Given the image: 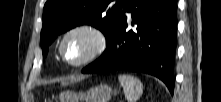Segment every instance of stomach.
I'll list each match as a JSON object with an SVG mask.
<instances>
[{"instance_id":"obj_1","label":"stomach","mask_w":221,"mask_h":102,"mask_svg":"<svg viewBox=\"0 0 221 102\" xmlns=\"http://www.w3.org/2000/svg\"><path fill=\"white\" fill-rule=\"evenodd\" d=\"M112 93L110 86L101 84L86 92L63 91L59 94V102H108Z\"/></svg>"}]
</instances>
